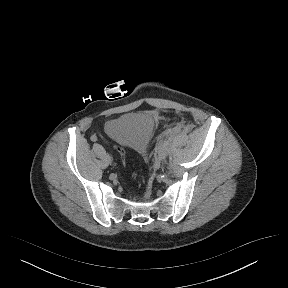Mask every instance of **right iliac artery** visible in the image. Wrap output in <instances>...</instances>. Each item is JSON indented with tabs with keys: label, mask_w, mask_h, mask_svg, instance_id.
Masks as SVG:
<instances>
[{
	"label": "right iliac artery",
	"mask_w": 288,
	"mask_h": 288,
	"mask_svg": "<svg viewBox=\"0 0 288 288\" xmlns=\"http://www.w3.org/2000/svg\"><path fill=\"white\" fill-rule=\"evenodd\" d=\"M90 139H91V141L95 142V141H97V136L96 135H92Z\"/></svg>",
	"instance_id": "82829eb1"
}]
</instances>
